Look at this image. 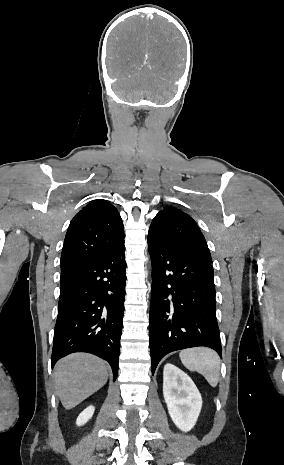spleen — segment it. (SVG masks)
<instances>
[{"label": "spleen", "mask_w": 284, "mask_h": 465, "mask_svg": "<svg viewBox=\"0 0 284 465\" xmlns=\"http://www.w3.org/2000/svg\"><path fill=\"white\" fill-rule=\"evenodd\" d=\"M179 357L186 369L197 371L205 377L211 387H217L220 375V359L215 351L206 349V347H196V349L180 351Z\"/></svg>", "instance_id": "3e777b00"}]
</instances>
